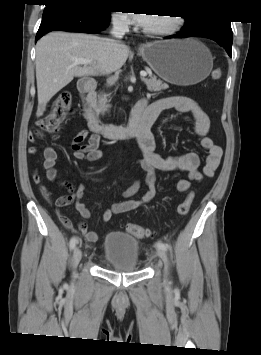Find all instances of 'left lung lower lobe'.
<instances>
[{"label": "left lung lower lobe", "instance_id": "0a47b994", "mask_svg": "<svg viewBox=\"0 0 261 355\" xmlns=\"http://www.w3.org/2000/svg\"><path fill=\"white\" fill-rule=\"evenodd\" d=\"M184 37H204L211 39L221 44L229 56H232L233 33L229 21L210 19L197 29H187L183 27L181 32L176 35L168 36L166 39Z\"/></svg>", "mask_w": 261, "mask_h": 355}]
</instances>
